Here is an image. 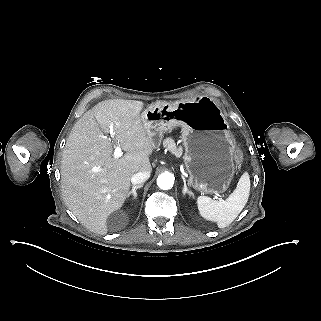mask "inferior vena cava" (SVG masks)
Segmentation results:
<instances>
[{
    "mask_svg": "<svg viewBox=\"0 0 321 321\" xmlns=\"http://www.w3.org/2000/svg\"><path fill=\"white\" fill-rule=\"evenodd\" d=\"M150 177V171L137 172L131 177V182L133 185L143 184Z\"/></svg>",
    "mask_w": 321,
    "mask_h": 321,
    "instance_id": "602c4592",
    "label": "inferior vena cava"
}]
</instances>
